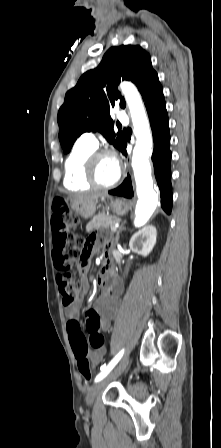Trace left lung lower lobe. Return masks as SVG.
I'll list each match as a JSON object with an SVG mask.
<instances>
[{
	"label": "left lung lower lobe",
	"instance_id": "left-lung-lower-lobe-1",
	"mask_svg": "<svg viewBox=\"0 0 221 448\" xmlns=\"http://www.w3.org/2000/svg\"><path fill=\"white\" fill-rule=\"evenodd\" d=\"M147 108L150 125L153 133L154 150L152 161L154 165L155 177L160 189L161 206L167 213H171L172 209V187L170 161L171 151L169 149V127L166 104L162 87L156 88L148 93L144 98ZM127 142L125 141L120 151L126 153ZM109 194L123 196L126 198L133 197V188L131 178L128 175L124 182L116 189L110 190Z\"/></svg>",
	"mask_w": 221,
	"mask_h": 448
}]
</instances>
